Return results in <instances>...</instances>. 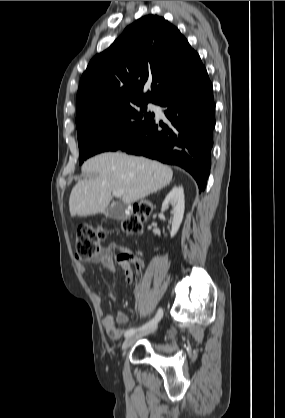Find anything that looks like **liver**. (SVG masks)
Wrapping results in <instances>:
<instances>
[{"label": "liver", "mask_w": 285, "mask_h": 418, "mask_svg": "<svg viewBox=\"0 0 285 418\" xmlns=\"http://www.w3.org/2000/svg\"><path fill=\"white\" fill-rule=\"evenodd\" d=\"M84 173H95L92 179L81 180L69 197L71 216H88L104 211L114 190L123 191L124 204L134 203L166 187L172 180L170 167L144 157L120 152H106L88 159Z\"/></svg>", "instance_id": "obj_1"}]
</instances>
